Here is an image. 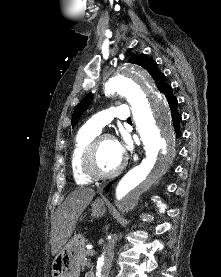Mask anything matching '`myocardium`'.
Masks as SVG:
<instances>
[{
	"mask_svg": "<svg viewBox=\"0 0 221 277\" xmlns=\"http://www.w3.org/2000/svg\"><path fill=\"white\" fill-rule=\"evenodd\" d=\"M105 140L115 141V138L110 134H102L96 136L93 141L86 148L82 160H81V170L83 174L91 180H105L111 179L119 175L125 167V158L113 171L108 173H100L94 167V159L100 144Z\"/></svg>",
	"mask_w": 221,
	"mask_h": 277,
	"instance_id": "obj_1",
	"label": "myocardium"
}]
</instances>
